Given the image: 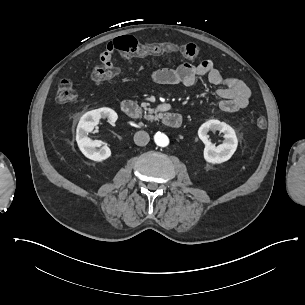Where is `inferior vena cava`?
Instances as JSON below:
<instances>
[{"label":"inferior vena cava","instance_id":"obj_1","mask_svg":"<svg viewBox=\"0 0 305 305\" xmlns=\"http://www.w3.org/2000/svg\"><path fill=\"white\" fill-rule=\"evenodd\" d=\"M150 140L149 134L145 131H138L134 135V142L138 146H145Z\"/></svg>","mask_w":305,"mask_h":305}]
</instances>
